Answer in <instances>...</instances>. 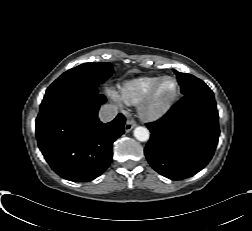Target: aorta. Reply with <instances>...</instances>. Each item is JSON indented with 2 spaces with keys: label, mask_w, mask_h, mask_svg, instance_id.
Returning a JSON list of instances; mask_svg holds the SVG:
<instances>
[{
  "label": "aorta",
  "mask_w": 252,
  "mask_h": 231,
  "mask_svg": "<svg viewBox=\"0 0 252 231\" xmlns=\"http://www.w3.org/2000/svg\"><path fill=\"white\" fill-rule=\"evenodd\" d=\"M133 134H134V137L141 142L148 141L150 137L149 130L142 126L136 127L134 129Z\"/></svg>",
  "instance_id": "obj_1"
}]
</instances>
